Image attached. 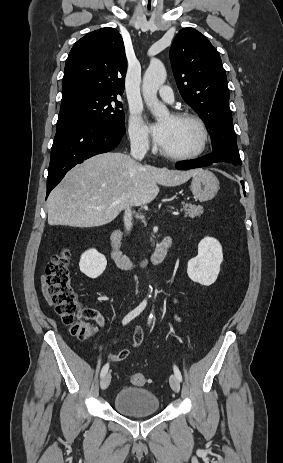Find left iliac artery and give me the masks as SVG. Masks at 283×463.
<instances>
[{
	"label": "left iliac artery",
	"instance_id": "left-iliac-artery-1",
	"mask_svg": "<svg viewBox=\"0 0 283 463\" xmlns=\"http://www.w3.org/2000/svg\"><path fill=\"white\" fill-rule=\"evenodd\" d=\"M152 319H153V314L150 313L149 318H148V324H149V325H150ZM174 374H175V376L178 378L179 381H182V375H181V373H180L178 367L175 366V365H174Z\"/></svg>",
	"mask_w": 283,
	"mask_h": 463
}]
</instances>
